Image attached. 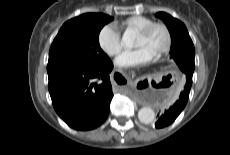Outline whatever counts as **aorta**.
<instances>
[{"label":"aorta","mask_w":230,"mask_h":155,"mask_svg":"<svg viewBox=\"0 0 230 155\" xmlns=\"http://www.w3.org/2000/svg\"><path fill=\"white\" fill-rule=\"evenodd\" d=\"M122 39L127 44L131 41L132 35L129 32H125ZM138 119L144 124H151L155 121V112L151 107H142L138 111Z\"/></svg>","instance_id":"762f6f07"}]
</instances>
